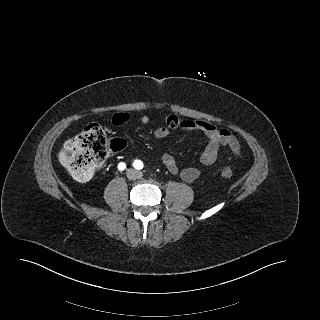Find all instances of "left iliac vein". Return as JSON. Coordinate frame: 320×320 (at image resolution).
Segmentation results:
<instances>
[{
  "label": "left iliac vein",
  "mask_w": 320,
  "mask_h": 320,
  "mask_svg": "<svg viewBox=\"0 0 320 320\" xmlns=\"http://www.w3.org/2000/svg\"><path fill=\"white\" fill-rule=\"evenodd\" d=\"M138 174H139L140 176L142 175V173H141V172H139Z\"/></svg>",
  "instance_id": "1"
}]
</instances>
